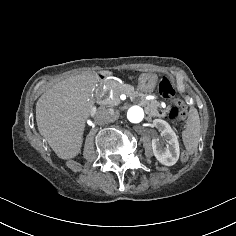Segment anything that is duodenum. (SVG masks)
I'll use <instances>...</instances> for the list:
<instances>
[{
  "label": "duodenum",
  "instance_id": "duodenum-1",
  "mask_svg": "<svg viewBox=\"0 0 236 236\" xmlns=\"http://www.w3.org/2000/svg\"><path fill=\"white\" fill-rule=\"evenodd\" d=\"M113 80V76L110 74L102 73L99 74V81L101 83H109Z\"/></svg>",
  "mask_w": 236,
  "mask_h": 236
}]
</instances>
